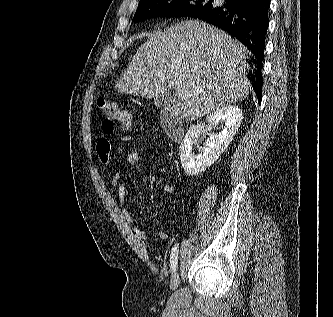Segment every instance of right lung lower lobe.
Returning a JSON list of instances; mask_svg holds the SVG:
<instances>
[{
	"instance_id": "1",
	"label": "right lung lower lobe",
	"mask_w": 333,
	"mask_h": 317,
	"mask_svg": "<svg viewBox=\"0 0 333 317\" xmlns=\"http://www.w3.org/2000/svg\"><path fill=\"white\" fill-rule=\"evenodd\" d=\"M269 6V0H226L223 6H216L194 16L227 31L251 50L255 56V69L250 78L259 104L263 86L261 69L269 25Z\"/></svg>"
}]
</instances>
